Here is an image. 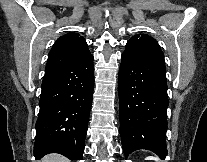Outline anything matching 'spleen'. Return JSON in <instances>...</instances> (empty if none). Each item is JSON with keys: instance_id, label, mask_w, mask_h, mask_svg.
<instances>
[{"instance_id": "3e777b00", "label": "spleen", "mask_w": 207, "mask_h": 162, "mask_svg": "<svg viewBox=\"0 0 207 162\" xmlns=\"http://www.w3.org/2000/svg\"><path fill=\"white\" fill-rule=\"evenodd\" d=\"M146 160H154L156 162H159L160 159L158 157L150 156V157H147Z\"/></svg>"}]
</instances>
